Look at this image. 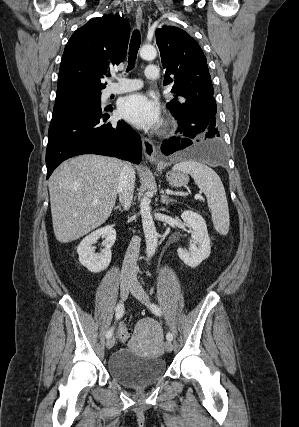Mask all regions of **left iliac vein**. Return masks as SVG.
Segmentation results:
<instances>
[{
  "instance_id": "obj_1",
  "label": "left iliac vein",
  "mask_w": 299,
  "mask_h": 427,
  "mask_svg": "<svg viewBox=\"0 0 299 427\" xmlns=\"http://www.w3.org/2000/svg\"><path fill=\"white\" fill-rule=\"evenodd\" d=\"M130 292L136 297L141 303L148 305L149 297L148 294L144 291L143 287L137 280L131 281ZM165 349L168 352L173 350V344L170 340H167L164 344Z\"/></svg>"
}]
</instances>
